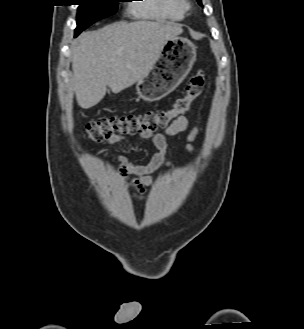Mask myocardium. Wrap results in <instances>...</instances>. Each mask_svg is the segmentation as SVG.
I'll use <instances>...</instances> for the list:
<instances>
[{
  "label": "myocardium",
  "mask_w": 304,
  "mask_h": 329,
  "mask_svg": "<svg viewBox=\"0 0 304 329\" xmlns=\"http://www.w3.org/2000/svg\"><path fill=\"white\" fill-rule=\"evenodd\" d=\"M184 1H185L184 2V11L186 12L190 9V5H189V3L186 2V0H184Z\"/></svg>",
  "instance_id": "f54148a6"
}]
</instances>
